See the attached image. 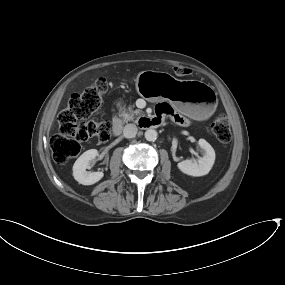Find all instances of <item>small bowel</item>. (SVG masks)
<instances>
[{"label": "small bowel", "mask_w": 285, "mask_h": 285, "mask_svg": "<svg viewBox=\"0 0 285 285\" xmlns=\"http://www.w3.org/2000/svg\"><path fill=\"white\" fill-rule=\"evenodd\" d=\"M156 111H157V116L155 119L157 122H160L164 115L170 113V109L168 107H163V106H157Z\"/></svg>", "instance_id": "small-bowel-1"}]
</instances>
